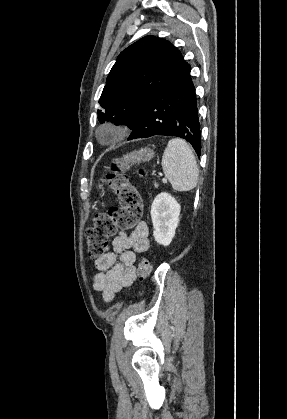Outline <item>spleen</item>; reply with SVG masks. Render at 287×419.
<instances>
[{
	"label": "spleen",
	"mask_w": 287,
	"mask_h": 419,
	"mask_svg": "<svg viewBox=\"0 0 287 419\" xmlns=\"http://www.w3.org/2000/svg\"><path fill=\"white\" fill-rule=\"evenodd\" d=\"M163 171L176 191H190L198 181V166L191 147L182 139L169 140L162 157Z\"/></svg>",
	"instance_id": "1"
}]
</instances>
